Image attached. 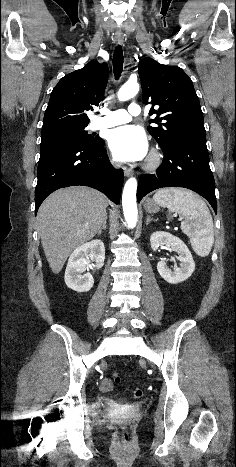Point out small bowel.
<instances>
[{"mask_svg": "<svg viewBox=\"0 0 236 467\" xmlns=\"http://www.w3.org/2000/svg\"><path fill=\"white\" fill-rule=\"evenodd\" d=\"M102 386H103L104 390L111 389L112 383H111L110 379H108V378L104 379L103 382H102Z\"/></svg>", "mask_w": 236, "mask_h": 467, "instance_id": "obj_1", "label": "small bowel"}]
</instances>
